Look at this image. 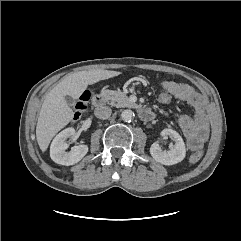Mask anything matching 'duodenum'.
Masks as SVG:
<instances>
[{
	"label": "duodenum",
	"instance_id": "1",
	"mask_svg": "<svg viewBox=\"0 0 241 241\" xmlns=\"http://www.w3.org/2000/svg\"><path fill=\"white\" fill-rule=\"evenodd\" d=\"M105 98L101 94H96L92 98V104L96 108H100L104 105ZM139 116L142 120L149 121L154 117L153 112L148 108H143L139 111Z\"/></svg>",
	"mask_w": 241,
	"mask_h": 241
}]
</instances>
